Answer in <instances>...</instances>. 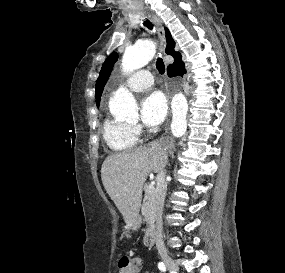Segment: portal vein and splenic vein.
Returning <instances> with one entry per match:
<instances>
[{
    "label": "portal vein and splenic vein",
    "instance_id": "portal-vein-and-splenic-vein-1",
    "mask_svg": "<svg viewBox=\"0 0 285 273\" xmlns=\"http://www.w3.org/2000/svg\"><path fill=\"white\" fill-rule=\"evenodd\" d=\"M149 188H150V189H154V186H153V185H150Z\"/></svg>",
    "mask_w": 285,
    "mask_h": 273
}]
</instances>
